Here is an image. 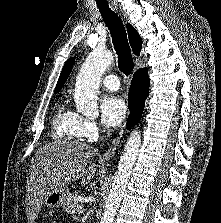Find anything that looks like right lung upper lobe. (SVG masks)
Segmentation results:
<instances>
[{"label": "right lung upper lobe", "mask_w": 221, "mask_h": 223, "mask_svg": "<svg viewBox=\"0 0 221 223\" xmlns=\"http://www.w3.org/2000/svg\"><path fill=\"white\" fill-rule=\"evenodd\" d=\"M127 31H128V37H129V42L132 47V50L134 54L140 55V51L142 48V39L139 36L138 32L132 27L130 24H127ZM74 64V58H70L64 65L62 72L60 74L59 80L57 82L56 88L54 93H58L60 89L63 87L65 81L67 80L72 67ZM147 69V68H143Z\"/></svg>", "instance_id": "cb5924a9"}]
</instances>
